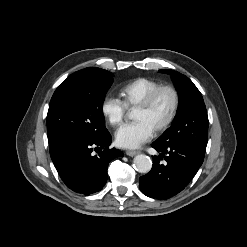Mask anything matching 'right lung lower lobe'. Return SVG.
Returning a JSON list of instances; mask_svg holds the SVG:
<instances>
[{"instance_id": "98d812e1", "label": "right lung lower lobe", "mask_w": 247, "mask_h": 247, "mask_svg": "<svg viewBox=\"0 0 247 247\" xmlns=\"http://www.w3.org/2000/svg\"><path fill=\"white\" fill-rule=\"evenodd\" d=\"M111 142V135L106 131L98 138L75 140L50 150L54 166L66 186L84 195L100 191L107 181L109 162L123 156L120 150L109 149ZM94 147L100 149L98 155L92 154Z\"/></svg>"}]
</instances>
